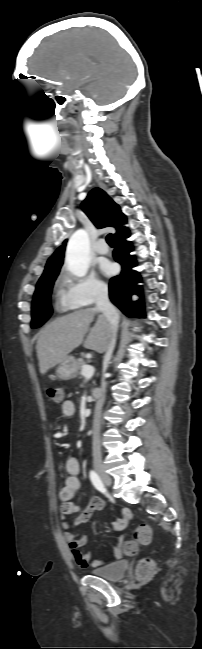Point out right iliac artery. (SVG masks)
Wrapping results in <instances>:
<instances>
[{
  "label": "right iliac artery",
  "mask_w": 202,
  "mask_h": 649,
  "mask_svg": "<svg viewBox=\"0 0 202 649\" xmlns=\"http://www.w3.org/2000/svg\"><path fill=\"white\" fill-rule=\"evenodd\" d=\"M90 479H91L92 484L94 485V487L98 491L106 494V488H105L102 480L100 479L99 475L93 470L90 471Z\"/></svg>",
  "instance_id": "1"
}]
</instances>
